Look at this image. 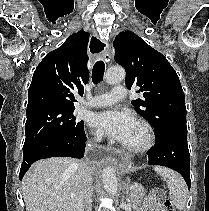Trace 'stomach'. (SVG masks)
I'll return each instance as SVG.
<instances>
[{
    "instance_id": "1",
    "label": "stomach",
    "mask_w": 209,
    "mask_h": 211,
    "mask_svg": "<svg viewBox=\"0 0 209 211\" xmlns=\"http://www.w3.org/2000/svg\"><path fill=\"white\" fill-rule=\"evenodd\" d=\"M128 163H129V159H126V160L124 161V164L122 165V168L124 169L125 166H126Z\"/></svg>"
}]
</instances>
